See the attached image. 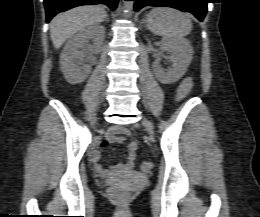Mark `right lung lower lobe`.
<instances>
[{
  "label": "right lung lower lobe",
  "mask_w": 260,
  "mask_h": 217,
  "mask_svg": "<svg viewBox=\"0 0 260 217\" xmlns=\"http://www.w3.org/2000/svg\"><path fill=\"white\" fill-rule=\"evenodd\" d=\"M118 0H44L46 21L49 22L57 13L66 11L76 6L105 4L115 10Z\"/></svg>",
  "instance_id": "obj_1"
}]
</instances>
